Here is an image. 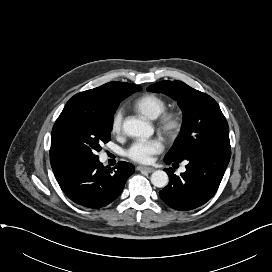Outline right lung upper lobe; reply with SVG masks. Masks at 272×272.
<instances>
[{
	"instance_id": "cb5924a9",
	"label": "right lung upper lobe",
	"mask_w": 272,
	"mask_h": 272,
	"mask_svg": "<svg viewBox=\"0 0 272 272\" xmlns=\"http://www.w3.org/2000/svg\"><path fill=\"white\" fill-rule=\"evenodd\" d=\"M140 86L125 82H109L100 87L80 92L66 103L57 120L74 113L105 114L118 107L132 92ZM50 162L54 174L60 172L68 163L57 158L50 149Z\"/></svg>"
}]
</instances>
